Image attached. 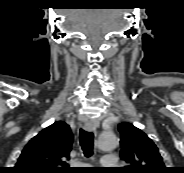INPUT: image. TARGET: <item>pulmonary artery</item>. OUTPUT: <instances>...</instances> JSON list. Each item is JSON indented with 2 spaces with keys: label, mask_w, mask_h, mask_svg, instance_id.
Returning <instances> with one entry per match:
<instances>
[{
  "label": "pulmonary artery",
  "mask_w": 184,
  "mask_h": 173,
  "mask_svg": "<svg viewBox=\"0 0 184 173\" xmlns=\"http://www.w3.org/2000/svg\"><path fill=\"white\" fill-rule=\"evenodd\" d=\"M118 163V160L116 156L114 155H105L101 160V165L105 168H112L116 166Z\"/></svg>",
  "instance_id": "pulmonary-artery-1"
}]
</instances>
